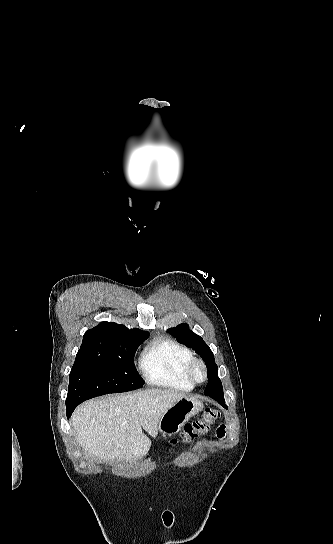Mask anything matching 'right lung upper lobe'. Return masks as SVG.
Returning a JSON list of instances; mask_svg holds the SVG:
<instances>
[{
    "label": "right lung upper lobe",
    "mask_w": 333,
    "mask_h": 544,
    "mask_svg": "<svg viewBox=\"0 0 333 544\" xmlns=\"http://www.w3.org/2000/svg\"><path fill=\"white\" fill-rule=\"evenodd\" d=\"M148 336L147 331L138 328L128 329L114 322H101L85 332L79 351L105 352L117 340L140 339Z\"/></svg>",
    "instance_id": "right-lung-upper-lobe-1"
}]
</instances>
